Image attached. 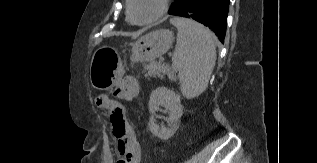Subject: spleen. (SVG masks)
Segmentation results:
<instances>
[{
  "label": "spleen",
  "instance_id": "spleen-1",
  "mask_svg": "<svg viewBox=\"0 0 317 163\" xmlns=\"http://www.w3.org/2000/svg\"><path fill=\"white\" fill-rule=\"evenodd\" d=\"M177 30L172 68L178 72L182 94L192 99L203 93L216 61L213 36L203 25L186 18L170 20Z\"/></svg>",
  "mask_w": 317,
  "mask_h": 163
}]
</instances>
